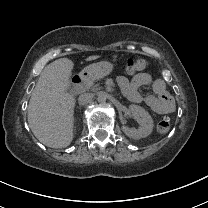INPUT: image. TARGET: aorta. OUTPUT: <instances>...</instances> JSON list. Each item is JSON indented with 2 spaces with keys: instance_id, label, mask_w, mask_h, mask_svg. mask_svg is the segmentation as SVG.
<instances>
[{
  "instance_id": "762f6f07",
  "label": "aorta",
  "mask_w": 208,
  "mask_h": 208,
  "mask_svg": "<svg viewBox=\"0 0 208 208\" xmlns=\"http://www.w3.org/2000/svg\"><path fill=\"white\" fill-rule=\"evenodd\" d=\"M98 101H99L100 103L105 102V101H106V96H105V95H100L99 98H98Z\"/></svg>"
}]
</instances>
